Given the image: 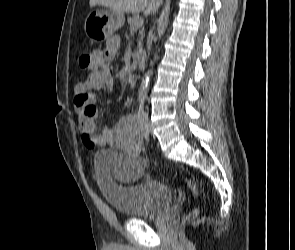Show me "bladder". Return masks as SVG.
<instances>
[{"instance_id": "1", "label": "bladder", "mask_w": 295, "mask_h": 250, "mask_svg": "<svg viewBox=\"0 0 295 250\" xmlns=\"http://www.w3.org/2000/svg\"><path fill=\"white\" fill-rule=\"evenodd\" d=\"M119 161L115 151L103 150L94 157L96 177L107 202L129 219L157 220L171 204L170 189L155 178H143L132 184H121L118 175Z\"/></svg>"}]
</instances>
